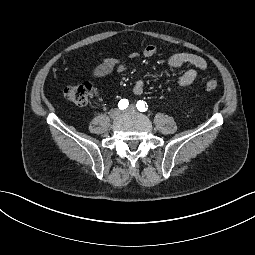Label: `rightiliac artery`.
I'll use <instances>...</instances> for the list:
<instances>
[{
	"instance_id": "82829eb1",
	"label": "right iliac artery",
	"mask_w": 255,
	"mask_h": 255,
	"mask_svg": "<svg viewBox=\"0 0 255 255\" xmlns=\"http://www.w3.org/2000/svg\"><path fill=\"white\" fill-rule=\"evenodd\" d=\"M128 105H129L128 100L127 99H122L118 103V108L123 110V109H126L128 107Z\"/></svg>"
}]
</instances>
